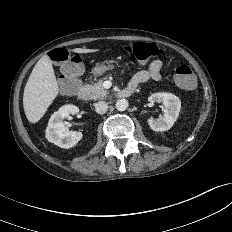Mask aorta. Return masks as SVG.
Segmentation results:
<instances>
[{
	"instance_id": "762f6f07",
	"label": "aorta",
	"mask_w": 232,
	"mask_h": 232,
	"mask_svg": "<svg viewBox=\"0 0 232 232\" xmlns=\"http://www.w3.org/2000/svg\"><path fill=\"white\" fill-rule=\"evenodd\" d=\"M128 108V101L126 99H119L116 102V109L118 111H125Z\"/></svg>"
}]
</instances>
